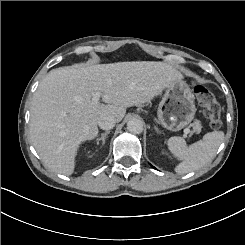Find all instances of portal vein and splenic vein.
<instances>
[{
	"label": "portal vein and splenic vein",
	"instance_id": "1",
	"mask_svg": "<svg viewBox=\"0 0 245 245\" xmlns=\"http://www.w3.org/2000/svg\"><path fill=\"white\" fill-rule=\"evenodd\" d=\"M100 93H95L94 95H93V97H92V101H93V103H95V104H97L98 103V101H99V99H100ZM184 134H189V132H190V129L189 128H186V129H184Z\"/></svg>",
	"mask_w": 245,
	"mask_h": 245
}]
</instances>
